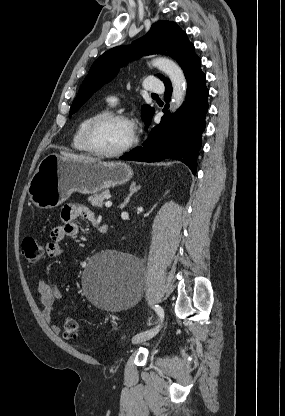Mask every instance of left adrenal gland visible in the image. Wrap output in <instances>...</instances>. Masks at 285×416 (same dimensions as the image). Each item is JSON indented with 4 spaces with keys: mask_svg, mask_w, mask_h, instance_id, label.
<instances>
[{
    "mask_svg": "<svg viewBox=\"0 0 285 416\" xmlns=\"http://www.w3.org/2000/svg\"><path fill=\"white\" fill-rule=\"evenodd\" d=\"M141 186H136V182H131V186L129 188V192L130 194H128L127 198H125L123 204H121L120 208L121 210H123V208H125V206H127L131 196H133V194H135V192H137V190H140Z\"/></svg>",
    "mask_w": 285,
    "mask_h": 416,
    "instance_id": "obj_1",
    "label": "left adrenal gland"
}]
</instances>
